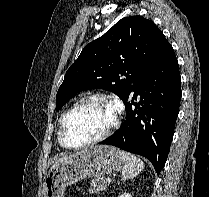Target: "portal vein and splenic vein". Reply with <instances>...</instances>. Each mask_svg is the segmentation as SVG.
Returning <instances> with one entry per match:
<instances>
[{"label":"portal vein and splenic vein","mask_w":209,"mask_h":197,"mask_svg":"<svg viewBox=\"0 0 209 197\" xmlns=\"http://www.w3.org/2000/svg\"><path fill=\"white\" fill-rule=\"evenodd\" d=\"M106 181H107L108 183H111L112 180H111V178H107Z\"/></svg>","instance_id":"obj_1"}]
</instances>
